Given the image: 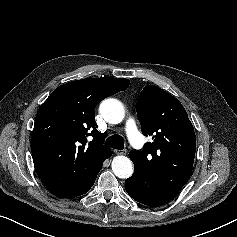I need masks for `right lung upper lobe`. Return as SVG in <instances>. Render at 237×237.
<instances>
[{
	"label": "right lung upper lobe",
	"mask_w": 237,
	"mask_h": 237,
	"mask_svg": "<svg viewBox=\"0 0 237 237\" xmlns=\"http://www.w3.org/2000/svg\"><path fill=\"white\" fill-rule=\"evenodd\" d=\"M129 86L123 78H86L56 88L40 106L31 138L34 167L60 198L87 193L103 162L112 155L93 122L104 98ZM93 139L88 143L87 137Z\"/></svg>",
	"instance_id": "obj_1"
}]
</instances>
